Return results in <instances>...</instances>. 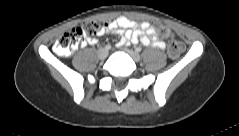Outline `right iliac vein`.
Masks as SVG:
<instances>
[{"label":"right iliac vein","instance_id":"right-iliac-vein-1","mask_svg":"<svg viewBox=\"0 0 239 136\" xmlns=\"http://www.w3.org/2000/svg\"><path fill=\"white\" fill-rule=\"evenodd\" d=\"M108 56V50L105 48H101L98 50V57L101 60H104Z\"/></svg>","mask_w":239,"mask_h":136}]
</instances>
